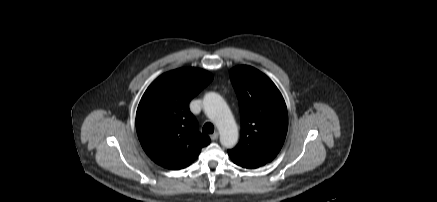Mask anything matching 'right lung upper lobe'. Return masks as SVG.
Returning <instances> with one entry per match:
<instances>
[{
  "label": "right lung upper lobe",
  "instance_id": "obj_1",
  "mask_svg": "<svg viewBox=\"0 0 437 202\" xmlns=\"http://www.w3.org/2000/svg\"><path fill=\"white\" fill-rule=\"evenodd\" d=\"M213 76L198 68H180L158 77L145 91L136 113V130L146 154L167 169L189 166L210 143L198 131L189 102Z\"/></svg>",
  "mask_w": 437,
  "mask_h": 202
}]
</instances>
